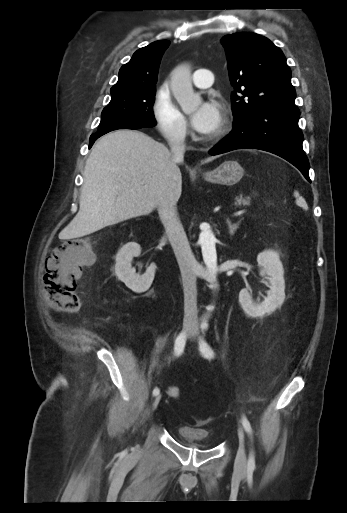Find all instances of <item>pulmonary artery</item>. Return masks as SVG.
<instances>
[{
    "mask_svg": "<svg viewBox=\"0 0 347 513\" xmlns=\"http://www.w3.org/2000/svg\"><path fill=\"white\" fill-rule=\"evenodd\" d=\"M214 80L212 71L207 69H198L193 73V83L198 88H207L211 86Z\"/></svg>",
    "mask_w": 347,
    "mask_h": 513,
    "instance_id": "obj_1",
    "label": "pulmonary artery"
}]
</instances>
